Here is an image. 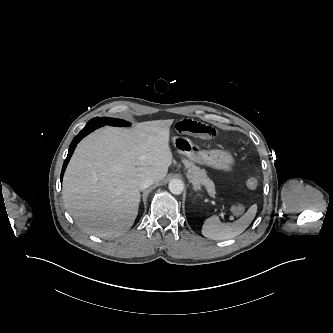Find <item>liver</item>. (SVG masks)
<instances>
[{
  "label": "liver",
  "instance_id": "liver-1",
  "mask_svg": "<svg viewBox=\"0 0 333 333\" xmlns=\"http://www.w3.org/2000/svg\"><path fill=\"white\" fill-rule=\"evenodd\" d=\"M173 120L138 123L131 129L104 127L76 148L63 178L65 206L87 233L101 238L128 231L138 214L139 182L162 181L172 163Z\"/></svg>",
  "mask_w": 333,
  "mask_h": 333
}]
</instances>
